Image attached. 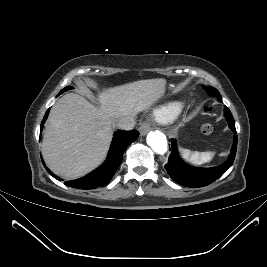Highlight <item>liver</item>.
<instances>
[{
    "instance_id": "obj_1",
    "label": "liver",
    "mask_w": 267,
    "mask_h": 267,
    "mask_svg": "<svg viewBox=\"0 0 267 267\" xmlns=\"http://www.w3.org/2000/svg\"><path fill=\"white\" fill-rule=\"evenodd\" d=\"M165 79L140 80L99 93L96 108L76 93L52 107L41 146L47 166L57 175L79 178L101 164L113 136L112 122L149 109L165 90Z\"/></svg>"
}]
</instances>
